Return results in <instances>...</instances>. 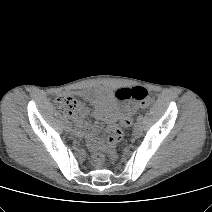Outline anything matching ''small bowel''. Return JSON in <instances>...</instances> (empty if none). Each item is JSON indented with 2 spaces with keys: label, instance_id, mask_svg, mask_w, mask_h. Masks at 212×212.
I'll return each mask as SVG.
<instances>
[{
  "label": "small bowel",
  "instance_id": "obj_1",
  "mask_svg": "<svg viewBox=\"0 0 212 212\" xmlns=\"http://www.w3.org/2000/svg\"><path fill=\"white\" fill-rule=\"evenodd\" d=\"M79 95L93 105L94 117L98 121L104 122L107 125V130L111 132L117 128L118 123L124 126L130 125L131 116L137 111V106L120 103L114 98L113 93L106 88L81 91ZM75 122L76 136L86 138L90 147L97 150L100 142L96 135L100 128L89 124L85 120V115L76 119Z\"/></svg>",
  "mask_w": 212,
  "mask_h": 212
}]
</instances>
